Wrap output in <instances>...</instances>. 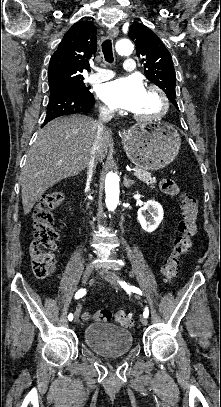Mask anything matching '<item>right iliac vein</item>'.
<instances>
[{
  "mask_svg": "<svg viewBox=\"0 0 221 407\" xmlns=\"http://www.w3.org/2000/svg\"><path fill=\"white\" fill-rule=\"evenodd\" d=\"M92 272H93V267L91 265H88L86 267L84 273H83V277H82V283L83 284H85L88 281V279H89L90 275L92 274ZM79 312H80V309L77 308L76 311H75V316H74V321L75 322L78 321Z\"/></svg>",
  "mask_w": 221,
  "mask_h": 407,
  "instance_id": "63e3f726",
  "label": "right iliac vein"
}]
</instances>
